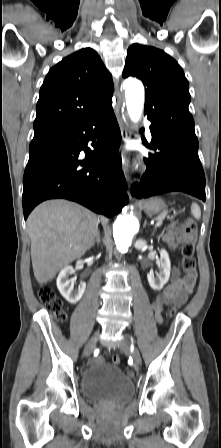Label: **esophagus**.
<instances>
[{"instance_id":"obj_1","label":"esophagus","mask_w":221,"mask_h":448,"mask_svg":"<svg viewBox=\"0 0 221 448\" xmlns=\"http://www.w3.org/2000/svg\"><path fill=\"white\" fill-rule=\"evenodd\" d=\"M120 102H121V99L119 97L118 105H120ZM117 112H119V107L117 108ZM119 126H120V130H121L123 145H125L130 140V136H131L130 126L126 121H123L121 118L119 119ZM122 164H123V171L125 173L126 178L128 179L129 178L128 177L129 160H128L127 153H125V152L122 155Z\"/></svg>"}]
</instances>
